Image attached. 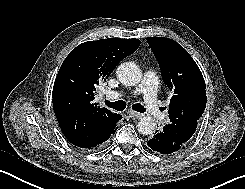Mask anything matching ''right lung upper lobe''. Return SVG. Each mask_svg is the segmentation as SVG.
Wrapping results in <instances>:
<instances>
[{
  "instance_id": "obj_1",
  "label": "right lung upper lobe",
  "mask_w": 245,
  "mask_h": 189,
  "mask_svg": "<svg viewBox=\"0 0 245 189\" xmlns=\"http://www.w3.org/2000/svg\"><path fill=\"white\" fill-rule=\"evenodd\" d=\"M140 43L137 39L118 38L84 42L62 63L54 82L53 107L63 134L73 145L94 140L98 119H104L109 131L116 128L121 115L97 107L93 100L97 86Z\"/></svg>"
}]
</instances>
